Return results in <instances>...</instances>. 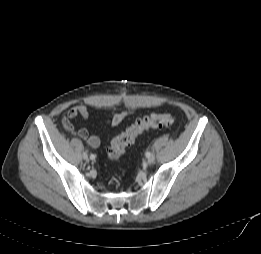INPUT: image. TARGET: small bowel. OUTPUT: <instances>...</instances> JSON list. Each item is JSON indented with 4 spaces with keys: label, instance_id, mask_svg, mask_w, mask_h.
<instances>
[{
    "label": "small bowel",
    "instance_id": "1",
    "mask_svg": "<svg viewBox=\"0 0 261 254\" xmlns=\"http://www.w3.org/2000/svg\"><path fill=\"white\" fill-rule=\"evenodd\" d=\"M134 114L133 110H127L122 112L112 113L108 118L107 123L111 126L119 125L127 117ZM87 119L90 116V110L87 105L79 104L71 107L67 114L62 118V125L64 129L79 137L82 140L87 141L91 148H98L100 146V139L95 135H90L86 128L76 129L73 125V120L77 117Z\"/></svg>",
    "mask_w": 261,
    "mask_h": 254
}]
</instances>
